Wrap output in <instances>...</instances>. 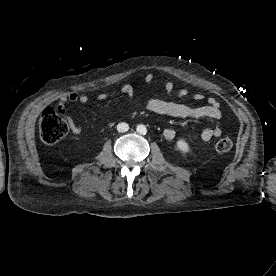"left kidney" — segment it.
<instances>
[{
    "instance_id": "1",
    "label": "left kidney",
    "mask_w": 276,
    "mask_h": 276,
    "mask_svg": "<svg viewBox=\"0 0 276 276\" xmlns=\"http://www.w3.org/2000/svg\"><path fill=\"white\" fill-rule=\"evenodd\" d=\"M176 145H177V148L186 153V152H189L190 151V147H189V144L184 140V139H179L177 142H176Z\"/></svg>"
}]
</instances>
